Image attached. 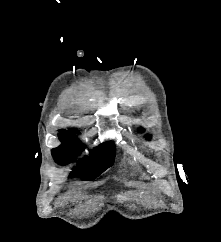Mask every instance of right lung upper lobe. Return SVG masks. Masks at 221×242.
<instances>
[{"instance_id":"obj_1","label":"right lung upper lobe","mask_w":221,"mask_h":242,"mask_svg":"<svg viewBox=\"0 0 221 242\" xmlns=\"http://www.w3.org/2000/svg\"><path fill=\"white\" fill-rule=\"evenodd\" d=\"M72 131L75 132V130H72ZM60 132H61L60 134H69V135H73L72 132L67 131V130H61Z\"/></svg>"}]
</instances>
